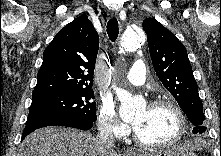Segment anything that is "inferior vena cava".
<instances>
[{
    "mask_svg": "<svg viewBox=\"0 0 221 156\" xmlns=\"http://www.w3.org/2000/svg\"><path fill=\"white\" fill-rule=\"evenodd\" d=\"M98 143L103 148H111L114 146V136L110 131H101L97 137Z\"/></svg>",
    "mask_w": 221,
    "mask_h": 156,
    "instance_id": "1",
    "label": "inferior vena cava"
}]
</instances>
